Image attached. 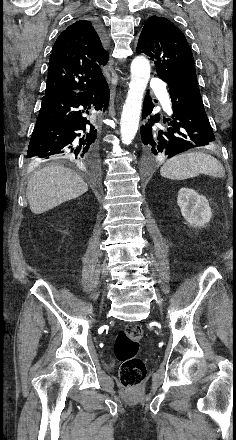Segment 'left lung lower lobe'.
I'll return each instance as SVG.
<instances>
[{
  "label": "left lung lower lobe",
  "mask_w": 236,
  "mask_h": 440,
  "mask_svg": "<svg viewBox=\"0 0 236 440\" xmlns=\"http://www.w3.org/2000/svg\"><path fill=\"white\" fill-rule=\"evenodd\" d=\"M169 94L173 114L163 120L166 125L156 128L154 123L159 122L160 115L155 114L140 129L146 154L151 157H173L190 148L213 143L215 136L205 113L197 79H182L172 83ZM153 108L154 104L147 93L143 118L151 114Z\"/></svg>",
  "instance_id": "obj_1"
}]
</instances>
